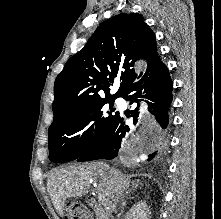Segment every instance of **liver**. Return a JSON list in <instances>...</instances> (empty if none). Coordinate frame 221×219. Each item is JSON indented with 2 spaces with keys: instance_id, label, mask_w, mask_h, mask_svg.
I'll return each instance as SVG.
<instances>
[{
  "instance_id": "liver-1",
  "label": "liver",
  "mask_w": 221,
  "mask_h": 219,
  "mask_svg": "<svg viewBox=\"0 0 221 219\" xmlns=\"http://www.w3.org/2000/svg\"><path fill=\"white\" fill-rule=\"evenodd\" d=\"M92 184L108 211L115 212L136 182L103 162H91L54 170L48 178L47 190L56 211L63 215L66 199L85 196Z\"/></svg>"
}]
</instances>
